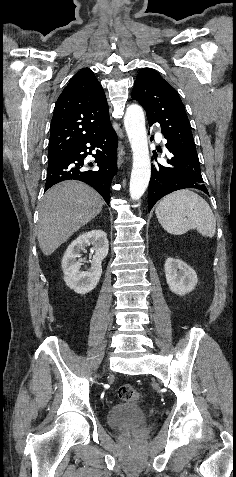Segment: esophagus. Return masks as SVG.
Wrapping results in <instances>:
<instances>
[{"label":"esophagus","instance_id":"esophagus-1","mask_svg":"<svg viewBox=\"0 0 236 477\" xmlns=\"http://www.w3.org/2000/svg\"><path fill=\"white\" fill-rule=\"evenodd\" d=\"M123 155H124V150L122 147L119 149V165L123 163Z\"/></svg>","mask_w":236,"mask_h":477}]
</instances>
